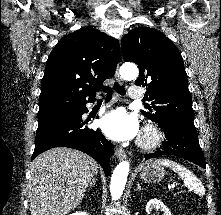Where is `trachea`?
<instances>
[{"mask_svg": "<svg viewBox=\"0 0 221 215\" xmlns=\"http://www.w3.org/2000/svg\"><path fill=\"white\" fill-rule=\"evenodd\" d=\"M114 89L116 92H118L120 95H125L126 94V91L125 89L119 85L117 82L114 83Z\"/></svg>", "mask_w": 221, "mask_h": 215, "instance_id": "obj_1", "label": "trachea"}]
</instances>
